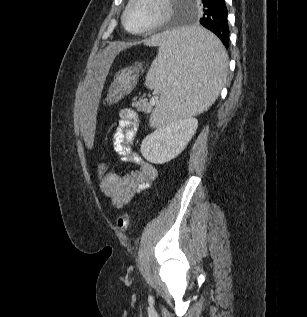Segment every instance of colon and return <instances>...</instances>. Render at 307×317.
<instances>
[{
    "label": "colon",
    "mask_w": 307,
    "mask_h": 317,
    "mask_svg": "<svg viewBox=\"0 0 307 317\" xmlns=\"http://www.w3.org/2000/svg\"><path fill=\"white\" fill-rule=\"evenodd\" d=\"M108 171L107 164L99 162L96 166V174L99 178H102ZM129 226V217L127 214H121L116 220V228L120 232H125Z\"/></svg>",
    "instance_id": "1"
}]
</instances>
